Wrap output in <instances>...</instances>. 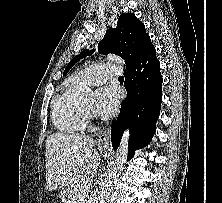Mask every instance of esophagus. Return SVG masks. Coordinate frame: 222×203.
Wrapping results in <instances>:
<instances>
[{
    "mask_svg": "<svg viewBox=\"0 0 222 203\" xmlns=\"http://www.w3.org/2000/svg\"><path fill=\"white\" fill-rule=\"evenodd\" d=\"M98 143L102 147H110L111 139H110V128L105 129L98 138Z\"/></svg>",
    "mask_w": 222,
    "mask_h": 203,
    "instance_id": "obj_1",
    "label": "esophagus"
}]
</instances>
